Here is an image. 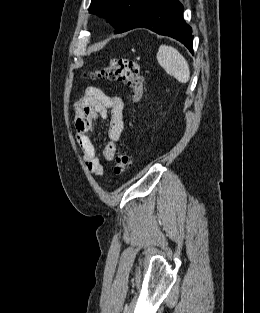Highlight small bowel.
Listing matches in <instances>:
<instances>
[{"mask_svg":"<svg viewBox=\"0 0 260 313\" xmlns=\"http://www.w3.org/2000/svg\"><path fill=\"white\" fill-rule=\"evenodd\" d=\"M124 103L117 96H109L100 88L88 86L84 95L75 104V129L82 158L87 170L94 176L104 175V166L97 155L91 134L98 117L107 118L110 111L108 136L110 142L103 149V157L112 161L116 153V143L125 128Z\"/></svg>","mask_w":260,"mask_h":313,"instance_id":"c3829d8e","label":"small bowel"}]
</instances>
